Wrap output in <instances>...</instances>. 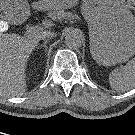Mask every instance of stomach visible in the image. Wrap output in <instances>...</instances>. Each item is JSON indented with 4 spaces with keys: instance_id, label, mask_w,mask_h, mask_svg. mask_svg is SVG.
Wrapping results in <instances>:
<instances>
[{
    "instance_id": "stomach-1",
    "label": "stomach",
    "mask_w": 135,
    "mask_h": 135,
    "mask_svg": "<svg viewBox=\"0 0 135 135\" xmlns=\"http://www.w3.org/2000/svg\"><path fill=\"white\" fill-rule=\"evenodd\" d=\"M50 9H60V0H44ZM5 8L18 17H26V0H5ZM82 14L89 26L93 58L102 65L126 62L135 54V17L125 0H83Z\"/></svg>"
}]
</instances>
